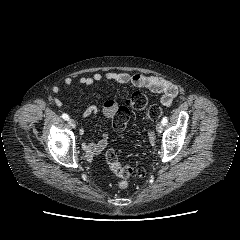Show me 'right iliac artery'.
<instances>
[{
    "instance_id": "82829eb1",
    "label": "right iliac artery",
    "mask_w": 240,
    "mask_h": 240,
    "mask_svg": "<svg viewBox=\"0 0 240 240\" xmlns=\"http://www.w3.org/2000/svg\"><path fill=\"white\" fill-rule=\"evenodd\" d=\"M62 118H63L64 120H68V119H69V116L64 113V114H62Z\"/></svg>"
}]
</instances>
